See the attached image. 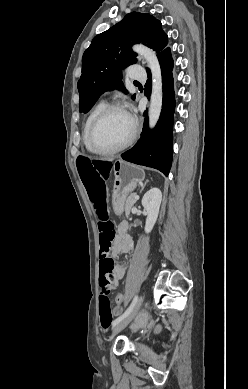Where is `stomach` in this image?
<instances>
[{"instance_id":"stomach-1","label":"stomach","mask_w":248,"mask_h":389,"mask_svg":"<svg viewBox=\"0 0 248 389\" xmlns=\"http://www.w3.org/2000/svg\"><path fill=\"white\" fill-rule=\"evenodd\" d=\"M112 169L115 176L112 202L115 214L120 216L127 195L133 191L138 184L142 183L145 179V172L143 168L123 160L113 162Z\"/></svg>"}]
</instances>
